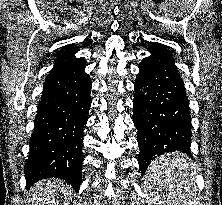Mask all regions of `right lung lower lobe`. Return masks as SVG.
<instances>
[{"label":"right lung lower lobe","instance_id":"98d812e1","mask_svg":"<svg viewBox=\"0 0 222 205\" xmlns=\"http://www.w3.org/2000/svg\"><path fill=\"white\" fill-rule=\"evenodd\" d=\"M91 85L84 68L47 77L24 168L28 187L41 179L56 177L79 190Z\"/></svg>","mask_w":222,"mask_h":205}]
</instances>
